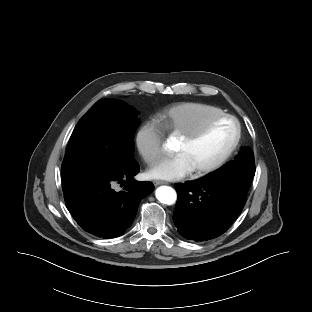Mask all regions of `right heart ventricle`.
Segmentation results:
<instances>
[{"label": "right heart ventricle", "instance_id": "obj_1", "mask_svg": "<svg viewBox=\"0 0 312 312\" xmlns=\"http://www.w3.org/2000/svg\"><path fill=\"white\" fill-rule=\"evenodd\" d=\"M224 113L222 109L198 102H183L164 109L159 119L169 132L182 136L199 128L207 119Z\"/></svg>", "mask_w": 312, "mask_h": 312}]
</instances>
